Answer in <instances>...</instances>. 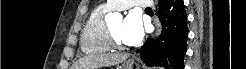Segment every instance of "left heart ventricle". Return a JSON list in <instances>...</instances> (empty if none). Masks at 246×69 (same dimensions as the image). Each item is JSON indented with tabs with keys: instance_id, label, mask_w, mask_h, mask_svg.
<instances>
[{
	"instance_id": "left-heart-ventricle-1",
	"label": "left heart ventricle",
	"mask_w": 246,
	"mask_h": 69,
	"mask_svg": "<svg viewBox=\"0 0 246 69\" xmlns=\"http://www.w3.org/2000/svg\"><path fill=\"white\" fill-rule=\"evenodd\" d=\"M122 22L115 23L110 26V29L113 33V35L122 43L125 44L123 41V36H122Z\"/></svg>"
}]
</instances>
